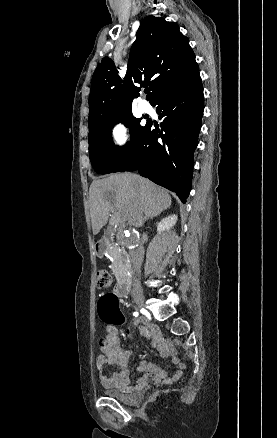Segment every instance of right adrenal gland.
Returning <instances> with one entry per match:
<instances>
[{"mask_svg":"<svg viewBox=\"0 0 277 438\" xmlns=\"http://www.w3.org/2000/svg\"><path fill=\"white\" fill-rule=\"evenodd\" d=\"M146 220H148V218H146V216H144L143 222H146Z\"/></svg>","mask_w":277,"mask_h":438,"instance_id":"obj_1","label":"right adrenal gland"}]
</instances>
